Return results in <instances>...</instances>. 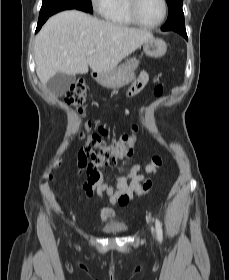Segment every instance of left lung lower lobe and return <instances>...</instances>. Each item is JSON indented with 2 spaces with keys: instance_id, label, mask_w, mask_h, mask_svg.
Returning a JSON list of instances; mask_svg holds the SVG:
<instances>
[{
  "instance_id": "obj_1",
  "label": "left lung lower lobe",
  "mask_w": 229,
  "mask_h": 280,
  "mask_svg": "<svg viewBox=\"0 0 229 280\" xmlns=\"http://www.w3.org/2000/svg\"><path fill=\"white\" fill-rule=\"evenodd\" d=\"M173 31L181 34L186 40H188L185 28L175 29Z\"/></svg>"
}]
</instances>
